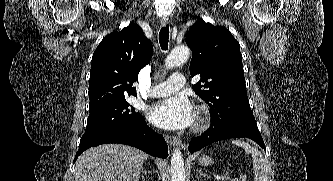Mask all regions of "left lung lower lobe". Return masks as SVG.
<instances>
[{
  "mask_svg": "<svg viewBox=\"0 0 333 181\" xmlns=\"http://www.w3.org/2000/svg\"><path fill=\"white\" fill-rule=\"evenodd\" d=\"M236 137L250 138L266 151L264 141L259 132L237 125L226 114H211V127L202 135L192 138L188 149L190 153H194L213 142Z\"/></svg>",
  "mask_w": 333,
  "mask_h": 181,
  "instance_id": "obj_1",
  "label": "left lung lower lobe"
}]
</instances>
